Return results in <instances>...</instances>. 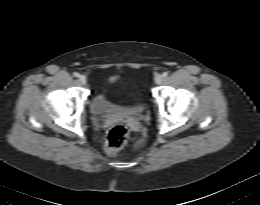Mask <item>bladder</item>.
<instances>
[{
	"label": "bladder",
	"instance_id": "31cf9c89",
	"mask_svg": "<svg viewBox=\"0 0 260 205\" xmlns=\"http://www.w3.org/2000/svg\"><path fill=\"white\" fill-rule=\"evenodd\" d=\"M118 82V78L111 77L99 85L95 90L90 104V110L94 116L109 117L118 114L138 115L142 112V104L125 107L118 105L109 99L107 94L108 88L117 85Z\"/></svg>",
	"mask_w": 260,
	"mask_h": 205
}]
</instances>
